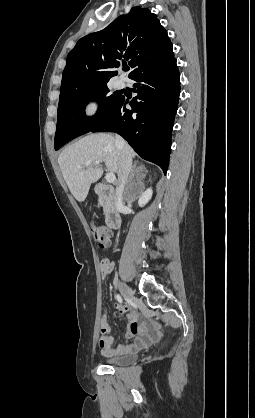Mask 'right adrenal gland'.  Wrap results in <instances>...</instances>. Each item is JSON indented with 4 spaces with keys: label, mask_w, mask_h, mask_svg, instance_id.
<instances>
[{
    "label": "right adrenal gland",
    "mask_w": 255,
    "mask_h": 418,
    "mask_svg": "<svg viewBox=\"0 0 255 418\" xmlns=\"http://www.w3.org/2000/svg\"><path fill=\"white\" fill-rule=\"evenodd\" d=\"M146 173H147V170L145 169V167L143 165L137 166L135 164L133 166L131 175H130L129 180L127 181V183L131 182L134 178H137V180H141V179L145 178Z\"/></svg>",
    "instance_id": "1"
}]
</instances>
